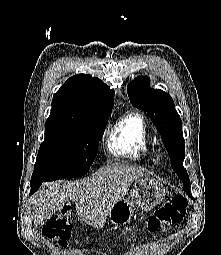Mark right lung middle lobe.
<instances>
[{"label": "right lung middle lobe", "instance_id": "obj_1", "mask_svg": "<svg viewBox=\"0 0 221 255\" xmlns=\"http://www.w3.org/2000/svg\"><path fill=\"white\" fill-rule=\"evenodd\" d=\"M110 115L111 111L98 114L89 125L47 121L31 181L85 175L97 155L99 139Z\"/></svg>", "mask_w": 221, "mask_h": 255}]
</instances>
